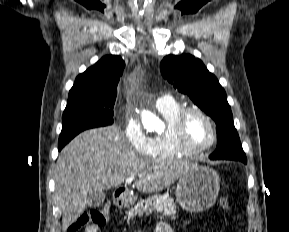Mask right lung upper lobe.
<instances>
[{
  "mask_svg": "<svg viewBox=\"0 0 289 232\" xmlns=\"http://www.w3.org/2000/svg\"><path fill=\"white\" fill-rule=\"evenodd\" d=\"M125 63L120 56L103 57L77 76L69 91V99L80 97H116L117 85Z\"/></svg>",
  "mask_w": 289,
  "mask_h": 232,
  "instance_id": "cb5924a9",
  "label": "right lung upper lobe"
}]
</instances>
